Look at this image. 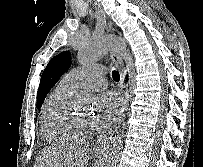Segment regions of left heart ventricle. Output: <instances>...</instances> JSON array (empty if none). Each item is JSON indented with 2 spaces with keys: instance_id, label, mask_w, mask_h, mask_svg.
<instances>
[{
  "instance_id": "left-heart-ventricle-1",
  "label": "left heart ventricle",
  "mask_w": 203,
  "mask_h": 167,
  "mask_svg": "<svg viewBox=\"0 0 203 167\" xmlns=\"http://www.w3.org/2000/svg\"><path fill=\"white\" fill-rule=\"evenodd\" d=\"M78 116L80 118H82L84 121H86L87 123L93 125V117H92L91 113L85 112V113L79 114Z\"/></svg>"
}]
</instances>
